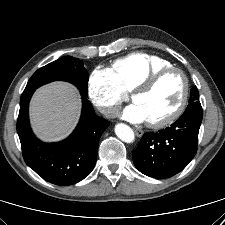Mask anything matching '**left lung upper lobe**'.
Returning a JSON list of instances; mask_svg holds the SVG:
<instances>
[{
  "label": "left lung upper lobe",
  "mask_w": 225,
  "mask_h": 225,
  "mask_svg": "<svg viewBox=\"0 0 225 225\" xmlns=\"http://www.w3.org/2000/svg\"><path fill=\"white\" fill-rule=\"evenodd\" d=\"M193 105H201L200 101H199V92H198V89H197L196 86H194L191 89V96H190V99H189L188 107L193 106Z\"/></svg>",
  "instance_id": "5c2ea615"
}]
</instances>
